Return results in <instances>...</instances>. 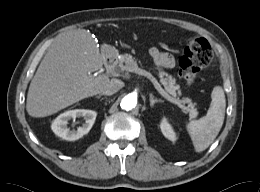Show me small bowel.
I'll return each instance as SVG.
<instances>
[{"label": "small bowel", "mask_w": 260, "mask_h": 192, "mask_svg": "<svg viewBox=\"0 0 260 192\" xmlns=\"http://www.w3.org/2000/svg\"><path fill=\"white\" fill-rule=\"evenodd\" d=\"M150 55L155 64L161 69H171L175 66V58L172 54L164 52L157 47L150 49Z\"/></svg>", "instance_id": "1"}]
</instances>
